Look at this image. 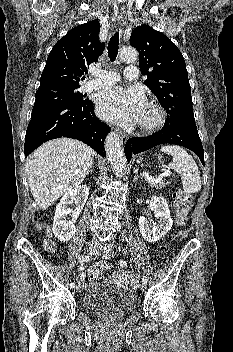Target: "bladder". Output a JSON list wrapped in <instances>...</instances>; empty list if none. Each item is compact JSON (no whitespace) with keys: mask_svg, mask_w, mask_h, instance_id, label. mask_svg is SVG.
Listing matches in <instances>:
<instances>
[{"mask_svg":"<svg viewBox=\"0 0 233 352\" xmlns=\"http://www.w3.org/2000/svg\"><path fill=\"white\" fill-rule=\"evenodd\" d=\"M137 297L133 290L108 281L90 285L82 297L84 309L91 313L120 316L135 308Z\"/></svg>","mask_w":233,"mask_h":352,"instance_id":"bladder-1","label":"bladder"}]
</instances>
